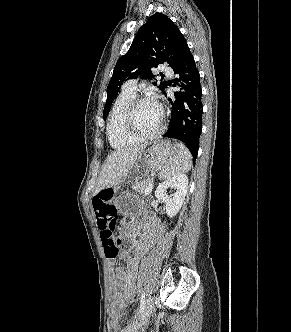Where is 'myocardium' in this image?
<instances>
[{"instance_id": "myocardium-1", "label": "myocardium", "mask_w": 291, "mask_h": 332, "mask_svg": "<svg viewBox=\"0 0 291 332\" xmlns=\"http://www.w3.org/2000/svg\"><path fill=\"white\" fill-rule=\"evenodd\" d=\"M146 101H154L159 106L160 112H161L160 126L154 132L148 133V134L141 133L136 128V124H135V115H136L137 108L139 107V105L141 103L146 102ZM124 127H125V130L128 133V135H130L131 137H133L139 141L154 139V138L158 137L166 128L165 110H164L163 106L159 102H157L155 99H153L152 97L137 96L128 105V108L126 110L125 117H124Z\"/></svg>"}]
</instances>
